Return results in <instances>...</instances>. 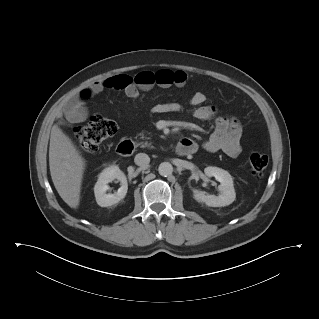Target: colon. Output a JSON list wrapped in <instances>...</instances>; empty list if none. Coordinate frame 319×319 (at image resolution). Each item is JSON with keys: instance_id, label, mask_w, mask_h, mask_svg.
Segmentation results:
<instances>
[{"instance_id": "obj_1", "label": "colon", "mask_w": 319, "mask_h": 319, "mask_svg": "<svg viewBox=\"0 0 319 319\" xmlns=\"http://www.w3.org/2000/svg\"><path fill=\"white\" fill-rule=\"evenodd\" d=\"M118 126L114 120L93 116L85 125L79 126L75 136L78 147L84 152H96L103 141L114 136ZM250 169L255 176H261L268 165V157L260 152L249 156Z\"/></svg>"}]
</instances>
